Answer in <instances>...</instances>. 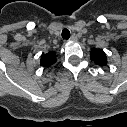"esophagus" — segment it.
<instances>
[{
    "instance_id": "obj_1",
    "label": "esophagus",
    "mask_w": 127,
    "mask_h": 127,
    "mask_svg": "<svg viewBox=\"0 0 127 127\" xmlns=\"http://www.w3.org/2000/svg\"><path fill=\"white\" fill-rule=\"evenodd\" d=\"M69 41H77V35L76 34H72V36L70 37Z\"/></svg>"
}]
</instances>
